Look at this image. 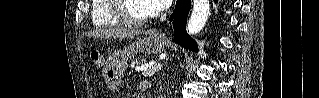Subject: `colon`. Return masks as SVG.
<instances>
[{
	"label": "colon",
	"instance_id": "1",
	"mask_svg": "<svg viewBox=\"0 0 319 98\" xmlns=\"http://www.w3.org/2000/svg\"><path fill=\"white\" fill-rule=\"evenodd\" d=\"M90 57L95 65L101 66L103 64V58L101 53L98 50H91Z\"/></svg>",
	"mask_w": 319,
	"mask_h": 98
}]
</instances>
